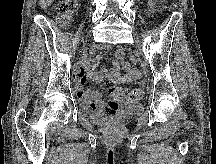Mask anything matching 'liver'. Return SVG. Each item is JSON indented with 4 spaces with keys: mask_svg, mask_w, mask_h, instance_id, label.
I'll return each mask as SVG.
<instances>
[{
    "mask_svg": "<svg viewBox=\"0 0 216 164\" xmlns=\"http://www.w3.org/2000/svg\"><path fill=\"white\" fill-rule=\"evenodd\" d=\"M54 0H39V5L42 9L47 8L53 3Z\"/></svg>",
    "mask_w": 216,
    "mask_h": 164,
    "instance_id": "1",
    "label": "liver"
}]
</instances>
